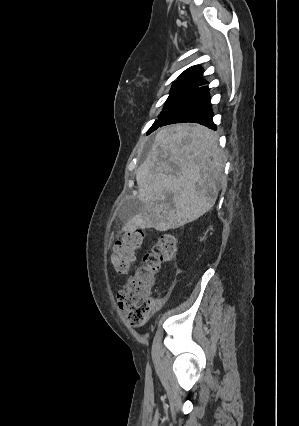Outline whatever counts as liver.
Instances as JSON below:
<instances>
[{
	"label": "liver",
	"mask_w": 299,
	"mask_h": 426,
	"mask_svg": "<svg viewBox=\"0 0 299 426\" xmlns=\"http://www.w3.org/2000/svg\"><path fill=\"white\" fill-rule=\"evenodd\" d=\"M224 162L217 136L207 127L176 124L162 128L136 170L143 210L123 230L153 227L167 231L198 219L215 204ZM172 165L179 168L176 174Z\"/></svg>",
	"instance_id": "obj_1"
}]
</instances>
